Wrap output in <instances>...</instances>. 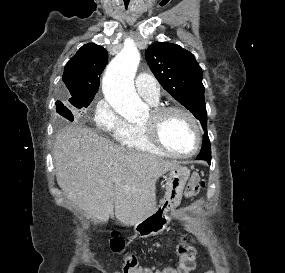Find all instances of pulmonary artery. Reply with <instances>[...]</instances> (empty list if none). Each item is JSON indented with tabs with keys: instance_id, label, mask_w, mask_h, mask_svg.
I'll return each instance as SVG.
<instances>
[{
	"instance_id": "pulmonary-artery-1",
	"label": "pulmonary artery",
	"mask_w": 285,
	"mask_h": 273,
	"mask_svg": "<svg viewBox=\"0 0 285 273\" xmlns=\"http://www.w3.org/2000/svg\"><path fill=\"white\" fill-rule=\"evenodd\" d=\"M138 93L148 102L155 104L160 98V88L154 77L148 73L141 72L135 79Z\"/></svg>"
}]
</instances>
